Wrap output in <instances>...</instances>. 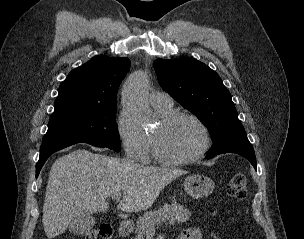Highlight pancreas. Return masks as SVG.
<instances>
[{"label": "pancreas", "instance_id": "cf45deb5", "mask_svg": "<svg viewBox=\"0 0 304 239\" xmlns=\"http://www.w3.org/2000/svg\"><path fill=\"white\" fill-rule=\"evenodd\" d=\"M190 216L191 212L184 209L182 205L177 204L175 201L172 202L171 205L165 204L156 210L145 212L136 222L134 239H144L146 232L151 227L155 228V225L162 222L168 221L172 225L185 223L189 220Z\"/></svg>", "mask_w": 304, "mask_h": 239}]
</instances>
